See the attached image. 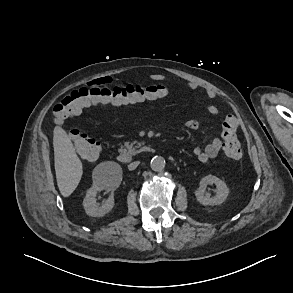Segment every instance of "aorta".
I'll use <instances>...</instances> for the list:
<instances>
[{
	"mask_svg": "<svg viewBox=\"0 0 293 293\" xmlns=\"http://www.w3.org/2000/svg\"><path fill=\"white\" fill-rule=\"evenodd\" d=\"M150 167L155 172H160L165 168V160L161 156H155L152 158Z\"/></svg>",
	"mask_w": 293,
	"mask_h": 293,
	"instance_id": "aorta-1",
	"label": "aorta"
}]
</instances>
